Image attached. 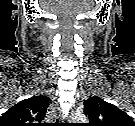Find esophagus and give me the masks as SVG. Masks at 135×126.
I'll list each match as a JSON object with an SVG mask.
<instances>
[{
	"label": "esophagus",
	"mask_w": 135,
	"mask_h": 126,
	"mask_svg": "<svg viewBox=\"0 0 135 126\" xmlns=\"http://www.w3.org/2000/svg\"><path fill=\"white\" fill-rule=\"evenodd\" d=\"M66 121L69 122L70 121V117L66 116Z\"/></svg>",
	"instance_id": "esophagus-1"
}]
</instances>
